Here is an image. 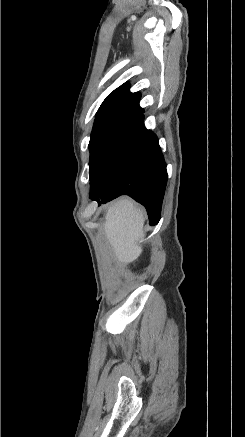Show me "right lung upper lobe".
Listing matches in <instances>:
<instances>
[{"mask_svg": "<svg viewBox=\"0 0 245 437\" xmlns=\"http://www.w3.org/2000/svg\"><path fill=\"white\" fill-rule=\"evenodd\" d=\"M129 83L126 82L111 92L103 101L100 107L105 106H124L143 112L139 106L141 94L139 92L131 93Z\"/></svg>", "mask_w": 245, "mask_h": 437, "instance_id": "cb5924a9", "label": "right lung upper lobe"}]
</instances>
